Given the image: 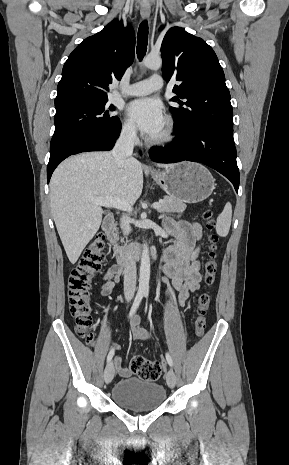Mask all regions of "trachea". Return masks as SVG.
<instances>
[{
    "label": "trachea",
    "mask_w": 289,
    "mask_h": 465,
    "mask_svg": "<svg viewBox=\"0 0 289 465\" xmlns=\"http://www.w3.org/2000/svg\"><path fill=\"white\" fill-rule=\"evenodd\" d=\"M148 44V22L143 21L138 30L137 35V57L142 60L147 51Z\"/></svg>",
    "instance_id": "3493384b"
}]
</instances>
